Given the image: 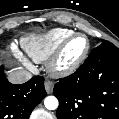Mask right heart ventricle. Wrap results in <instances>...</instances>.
<instances>
[{
  "label": "right heart ventricle",
  "instance_id": "1",
  "mask_svg": "<svg viewBox=\"0 0 119 119\" xmlns=\"http://www.w3.org/2000/svg\"><path fill=\"white\" fill-rule=\"evenodd\" d=\"M73 32L67 28H53L45 33L31 35L24 39L23 48L36 62H44L53 54L58 45Z\"/></svg>",
  "mask_w": 119,
  "mask_h": 119
}]
</instances>
